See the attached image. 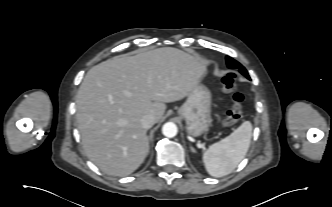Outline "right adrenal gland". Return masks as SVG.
<instances>
[{
  "mask_svg": "<svg viewBox=\"0 0 332 207\" xmlns=\"http://www.w3.org/2000/svg\"><path fill=\"white\" fill-rule=\"evenodd\" d=\"M147 142H148V151H149V138L147 137Z\"/></svg>",
  "mask_w": 332,
  "mask_h": 207,
  "instance_id": "right-adrenal-gland-1",
  "label": "right adrenal gland"
}]
</instances>
